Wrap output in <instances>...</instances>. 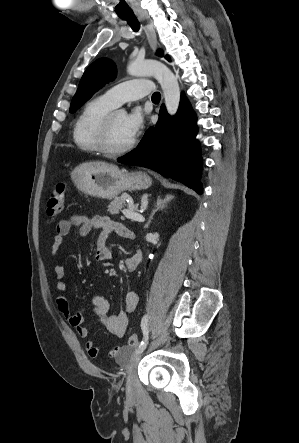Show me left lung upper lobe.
I'll list each match as a JSON object with an SVG mask.
<instances>
[{"mask_svg":"<svg viewBox=\"0 0 299 443\" xmlns=\"http://www.w3.org/2000/svg\"><path fill=\"white\" fill-rule=\"evenodd\" d=\"M158 56H163L160 50ZM169 60V57L166 56ZM116 76V68L113 62L102 58L92 63L84 72L78 90L71 101L70 112L73 113L82 104L89 100L93 94L104 84L112 81Z\"/></svg>","mask_w":299,"mask_h":443,"instance_id":"obj_1","label":"left lung upper lobe"}]
</instances>
